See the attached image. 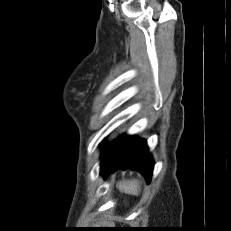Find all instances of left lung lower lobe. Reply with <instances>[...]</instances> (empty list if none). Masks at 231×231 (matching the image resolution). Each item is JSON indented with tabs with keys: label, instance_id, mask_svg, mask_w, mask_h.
Wrapping results in <instances>:
<instances>
[{
	"label": "left lung lower lobe",
	"instance_id": "obj_1",
	"mask_svg": "<svg viewBox=\"0 0 231 231\" xmlns=\"http://www.w3.org/2000/svg\"><path fill=\"white\" fill-rule=\"evenodd\" d=\"M101 157V173L104 178L110 172L130 168L140 172L150 182L154 163L145 140L121 136L105 147Z\"/></svg>",
	"mask_w": 231,
	"mask_h": 231
}]
</instances>
